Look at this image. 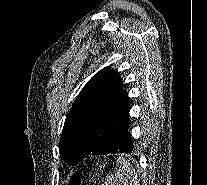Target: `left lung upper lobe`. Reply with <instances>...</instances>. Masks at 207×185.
Here are the masks:
<instances>
[{
  "label": "left lung upper lobe",
  "instance_id": "5c2ea615",
  "mask_svg": "<svg viewBox=\"0 0 207 185\" xmlns=\"http://www.w3.org/2000/svg\"><path fill=\"white\" fill-rule=\"evenodd\" d=\"M129 113L128 94L118 73L105 67L82 88L64 123L59 151L70 164L100 154Z\"/></svg>",
  "mask_w": 207,
  "mask_h": 185
}]
</instances>
